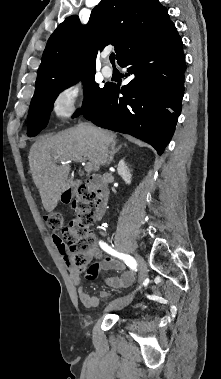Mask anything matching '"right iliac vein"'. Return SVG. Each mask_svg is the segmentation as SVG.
Here are the masks:
<instances>
[{"label": "right iliac vein", "mask_w": 221, "mask_h": 379, "mask_svg": "<svg viewBox=\"0 0 221 379\" xmlns=\"http://www.w3.org/2000/svg\"><path fill=\"white\" fill-rule=\"evenodd\" d=\"M136 260L138 262V267H139V278H140V281H142L147 276L146 263L144 259L139 255H136ZM132 299L133 297H125L122 299H117L113 301L112 303H110V305L108 306V309L123 307L129 304L132 301Z\"/></svg>", "instance_id": "obj_1"}]
</instances>
